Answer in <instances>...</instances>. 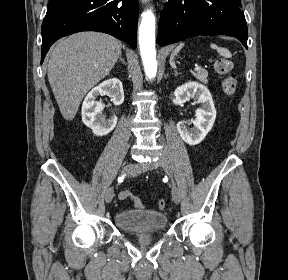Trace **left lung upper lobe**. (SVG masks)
Listing matches in <instances>:
<instances>
[{
	"label": "left lung upper lobe",
	"mask_w": 288,
	"mask_h": 280,
	"mask_svg": "<svg viewBox=\"0 0 288 280\" xmlns=\"http://www.w3.org/2000/svg\"><path fill=\"white\" fill-rule=\"evenodd\" d=\"M234 2H236L238 5H240V0H233Z\"/></svg>",
	"instance_id": "left-lung-upper-lobe-1"
}]
</instances>
